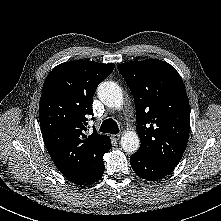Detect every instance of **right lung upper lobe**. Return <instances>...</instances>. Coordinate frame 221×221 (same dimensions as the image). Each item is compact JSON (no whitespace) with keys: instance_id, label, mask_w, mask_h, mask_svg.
Returning a JSON list of instances; mask_svg holds the SVG:
<instances>
[{"instance_id":"obj_1","label":"right lung upper lobe","mask_w":221,"mask_h":221,"mask_svg":"<svg viewBox=\"0 0 221 221\" xmlns=\"http://www.w3.org/2000/svg\"><path fill=\"white\" fill-rule=\"evenodd\" d=\"M114 64L77 60L59 64L47 76L39 104V121L47 150L60 172L77 185L89 184L104 168L111 141L93 129L88 116L97 86Z\"/></svg>"}]
</instances>
